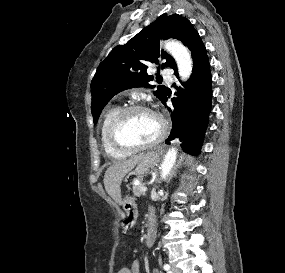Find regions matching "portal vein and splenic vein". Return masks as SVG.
Masks as SVG:
<instances>
[{
	"label": "portal vein and splenic vein",
	"mask_w": 285,
	"mask_h": 273,
	"mask_svg": "<svg viewBox=\"0 0 285 273\" xmlns=\"http://www.w3.org/2000/svg\"><path fill=\"white\" fill-rule=\"evenodd\" d=\"M141 191L146 192V191H147V187L142 186V187H141Z\"/></svg>",
	"instance_id": "portal-vein-and-splenic-vein-1"
}]
</instances>
